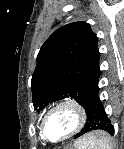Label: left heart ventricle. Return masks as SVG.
<instances>
[{"label":"left heart ventricle","mask_w":124,"mask_h":149,"mask_svg":"<svg viewBox=\"0 0 124 149\" xmlns=\"http://www.w3.org/2000/svg\"><path fill=\"white\" fill-rule=\"evenodd\" d=\"M75 124V119L71 111L60 110L49 117L46 122L47 136L52 140L63 138Z\"/></svg>","instance_id":"obj_1"}]
</instances>
